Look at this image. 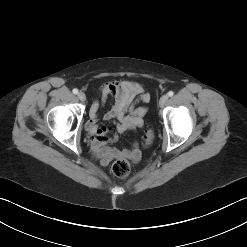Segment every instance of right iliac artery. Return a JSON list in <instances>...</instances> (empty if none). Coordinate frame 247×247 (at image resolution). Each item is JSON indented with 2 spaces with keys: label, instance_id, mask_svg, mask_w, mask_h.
<instances>
[{
  "label": "right iliac artery",
  "instance_id": "right-iliac-artery-1",
  "mask_svg": "<svg viewBox=\"0 0 247 247\" xmlns=\"http://www.w3.org/2000/svg\"><path fill=\"white\" fill-rule=\"evenodd\" d=\"M73 93H74V94H77V93H78V89H76V88L73 89Z\"/></svg>",
  "mask_w": 247,
  "mask_h": 247
}]
</instances>
